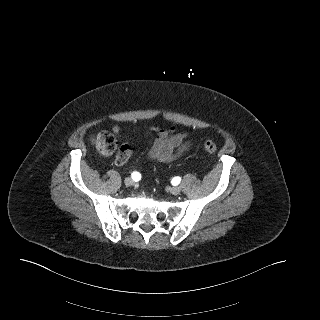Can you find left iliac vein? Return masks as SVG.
<instances>
[{"mask_svg":"<svg viewBox=\"0 0 320 320\" xmlns=\"http://www.w3.org/2000/svg\"><path fill=\"white\" fill-rule=\"evenodd\" d=\"M170 192H171V194H173V195H178V194H180V192H181V187H179V186L171 187V188H170Z\"/></svg>","mask_w":320,"mask_h":320,"instance_id":"4c4485c4","label":"left iliac vein"}]
</instances>
